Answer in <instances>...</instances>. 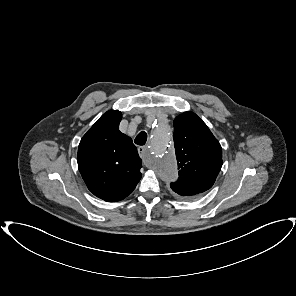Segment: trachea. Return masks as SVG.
<instances>
[{
	"instance_id": "1",
	"label": "trachea",
	"mask_w": 296,
	"mask_h": 296,
	"mask_svg": "<svg viewBox=\"0 0 296 296\" xmlns=\"http://www.w3.org/2000/svg\"><path fill=\"white\" fill-rule=\"evenodd\" d=\"M147 141V134L144 131H141L135 138V143L137 145H144Z\"/></svg>"
}]
</instances>
